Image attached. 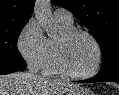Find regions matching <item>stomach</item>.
<instances>
[{
    "instance_id": "obj_1",
    "label": "stomach",
    "mask_w": 119,
    "mask_h": 95,
    "mask_svg": "<svg viewBox=\"0 0 119 95\" xmlns=\"http://www.w3.org/2000/svg\"><path fill=\"white\" fill-rule=\"evenodd\" d=\"M66 95H94L93 92L84 87H76L68 91Z\"/></svg>"
}]
</instances>
